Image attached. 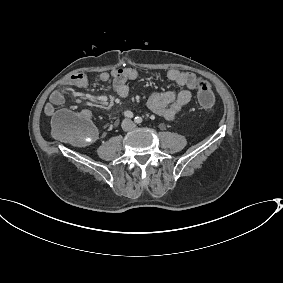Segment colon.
Here are the masks:
<instances>
[{"label": "colon", "instance_id": "5ec220e1", "mask_svg": "<svg viewBox=\"0 0 283 283\" xmlns=\"http://www.w3.org/2000/svg\"><path fill=\"white\" fill-rule=\"evenodd\" d=\"M196 87L200 106L204 109L211 108L215 97L210 84L197 78ZM52 129L57 137L74 145H87L96 138V130L90 119L81 113L69 110H61L54 114Z\"/></svg>", "mask_w": 283, "mask_h": 283}]
</instances>
